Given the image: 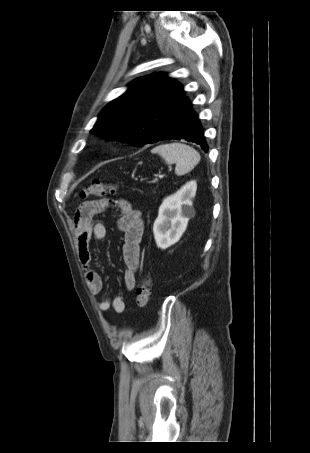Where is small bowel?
I'll return each mask as SVG.
<instances>
[{
  "label": "small bowel",
  "mask_w": 310,
  "mask_h": 453,
  "mask_svg": "<svg viewBox=\"0 0 310 453\" xmlns=\"http://www.w3.org/2000/svg\"><path fill=\"white\" fill-rule=\"evenodd\" d=\"M119 217L117 228L124 233L123 260L125 263L124 284L127 291H133L136 286V275L140 266V242L143 234V219L141 212L134 209L126 199L113 202ZM111 205L108 199L88 200L83 202L74 215V228L77 237L79 258L84 268L86 284L93 295H98L103 289L101 276L91 268L92 255L90 241L92 238L102 240L106 236V227L96 221L95 217L106 211ZM101 311L111 307L117 313L125 310V300L118 296L113 300L108 298L98 301Z\"/></svg>",
  "instance_id": "obj_1"
}]
</instances>
